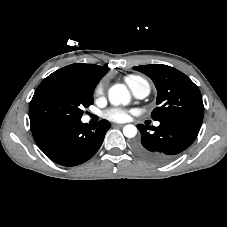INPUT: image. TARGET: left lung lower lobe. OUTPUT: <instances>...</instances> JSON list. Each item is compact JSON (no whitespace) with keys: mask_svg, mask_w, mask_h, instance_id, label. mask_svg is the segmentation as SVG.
I'll use <instances>...</instances> for the list:
<instances>
[{"mask_svg":"<svg viewBox=\"0 0 227 227\" xmlns=\"http://www.w3.org/2000/svg\"><path fill=\"white\" fill-rule=\"evenodd\" d=\"M159 122L160 125L152 129L138 124L141 139L134 144V150L140 157L156 164L168 163L188 148L196 139L202 124L188 119Z\"/></svg>","mask_w":227,"mask_h":227,"instance_id":"left-lung-lower-lobe-1","label":"left lung lower lobe"}]
</instances>
